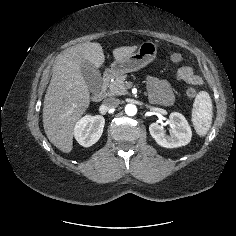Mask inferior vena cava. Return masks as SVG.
Instances as JSON below:
<instances>
[{
	"label": "inferior vena cava",
	"instance_id": "1",
	"mask_svg": "<svg viewBox=\"0 0 236 236\" xmlns=\"http://www.w3.org/2000/svg\"><path fill=\"white\" fill-rule=\"evenodd\" d=\"M120 104L118 98L110 97L103 101L102 105L106 110L116 108Z\"/></svg>",
	"mask_w": 236,
	"mask_h": 236
}]
</instances>
